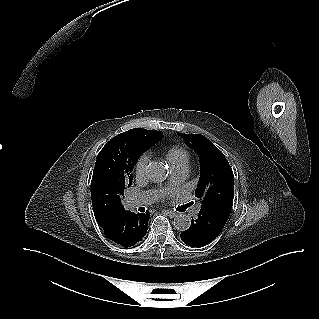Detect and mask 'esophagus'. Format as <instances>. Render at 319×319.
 I'll list each match as a JSON object with an SVG mask.
<instances>
[{
  "instance_id": "34e87169",
  "label": "esophagus",
  "mask_w": 319,
  "mask_h": 319,
  "mask_svg": "<svg viewBox=\"0 0 319 319\" xmlns=\"http://www.w3.org/2000/svg\"><path fill=\"white\" fill-rule=\"evenodd\" d=\"M164 211L169 217H175L177 215V213L172 210L165 209Z\"/></svg>"
}]
</instances>
